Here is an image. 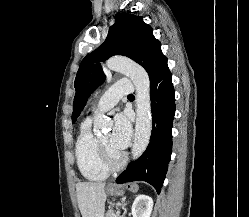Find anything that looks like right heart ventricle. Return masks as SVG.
I'll use <instances>...</instances> for the list:
<instances>
[{
	"label": "right heart ventricle",
	"instance_id": "1",
	"mask_svg": "<svg viewBox=\"0 0 249 217\" xmlns=\"http://www.w3.org/2000/svg\"><path fill=\"white\" fill-rule=\"evenodd\" d=\"M75 156L78 168L86 179L102 181L108 177L109 170L103 163L99 139L91 130L89 117L80 125L75 143Z\"/></svg>",
	"mask_w": 249,
	"mask_h": 217
}]
</instances>
